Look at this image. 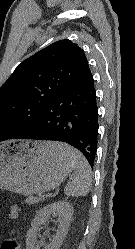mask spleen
I'll return each mask as SVG.
<instances>
[{"label":"spleen","instance_id":"spleen-1","mask_svg":"<svg viewBox=\"0 0 135 249\" xmlns=\"http://www.w3.org/2000/svg\"><path fill=\"white\" fill-rule=\"evenodd\" d=\"M52 148L70 160L74 170L73 178L65 187V194L73 197L86 196L91 188L92 171L86 158L75 148L53 142Z\"/></svg>","mask_w":135,"mask_h":249}]
</instances>
